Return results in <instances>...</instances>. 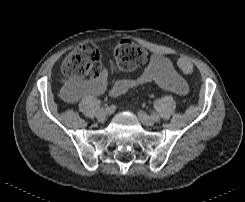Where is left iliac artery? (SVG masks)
Returning a JSON list of instances; mask_svg holds the SVG:
<instances>
[{
    "instance_id": "44dca946",
    "label": "left iliac artery",
    "mask_w": 245,
    "mask_h": 202,
    "mask_svg": "<svg viewBox=\"0 0 245 202\" xmlns=\"http://www.w3.org/2000/svg\"><path fill=\"white\" fill-rule=\"evenodd\" d=\"M155 120L159 119V115H154Z\"/></svg>"
}]
</instances>
